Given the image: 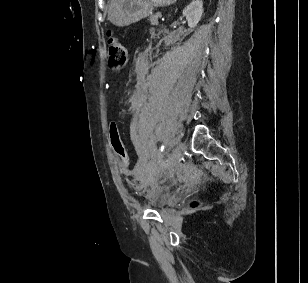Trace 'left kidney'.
<instances>
[{
    "instance_id": "5707ae66",
    "label": "left kidney",
    "mask_w": 308,
    "mask_h": 283,
    "mask_svg": "<svg viewBox=\"0 0 308 283\" xmlns=\"http://www.w3.org/2000/svg\"><path fill=\"white\" fill-rule=\"evenodd\" d=\"M183 16L186 17L188 26L194 28L199 23L203 14V3L201 0L192 1L182 11Z\"/></svg>"
}]
</instances>
